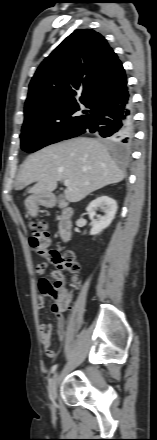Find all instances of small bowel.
Returning a JSON list of instances; mask_svg holds the SVG:
<instances>
[{
  "mask_svg": "<svg viewBox=\"0 0 157 440\" xmlns=\"http://www.w3.org/2000/svg\"><path fill=\"white\" fill-rule=\"evenodd\" d=\"M47 263L41 262L37 264L36 271L39 275H43L47 270ZM45 307L43 300L41 299L37 305L38 310H42ZM53 312L56 314L57 320V333L60 339L64 336L65 320L61 313L57 309L53 308ZM40 340L44 349V352L48 358L54 359L56 357L55 351L51 348V338H52V325L51 324H41L39 326Z\"/></svg>",
  "mask_w": 157,
  "mask_h": 440,
  "instance_id": "obj_1",
  "label": "small bowel"
}]
</instances>
